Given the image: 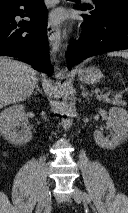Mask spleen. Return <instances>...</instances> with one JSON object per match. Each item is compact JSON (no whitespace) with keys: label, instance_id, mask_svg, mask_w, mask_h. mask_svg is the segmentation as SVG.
Masks as SVG:
<instances>
[{"label":"spleen","instance_id":"spleen-1","mask_svg":"<svg viewBox=\"0 0 128 213\" xmlns=\"http://www.w3.org/2000/svg\"><path fill=\"white\" fill-rule=\"evenodd\" d=\"M108 56H121L128 59V51H115L108 53Z\"/></svg>","mask_w":128,"mask_h":213}]
</instances>
